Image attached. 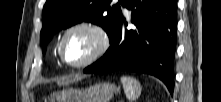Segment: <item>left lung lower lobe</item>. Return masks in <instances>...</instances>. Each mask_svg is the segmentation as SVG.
Instances as JSON below:
<instances>
[{"instance_id":"left-lung-lower-lobe-1","label":"left lung lower lobe","mask_w":221,"mask_h":102,"mask_svg":"<svg viewBox=\"0 0 221 102\" xmlns=\"http://www.w3.org/2000/svg\"><path fill=\"white\" fill-rule=\"evenodd\" d=\"M136 28L128 30L123 15L105 55L84 73L116 70L141 72L159 78L174 90L176 0H126Z\"/></svg>"}]
</instances>
